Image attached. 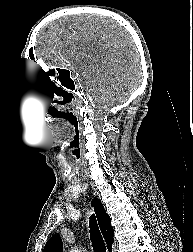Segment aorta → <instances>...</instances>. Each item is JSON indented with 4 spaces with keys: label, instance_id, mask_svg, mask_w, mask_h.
Returning a JSON list of instances; mask_svg holds the SVG:
<instances>
[{
    "label": "aorta",
    "instance_id": "obj_1",
    "mask_svg": "<svg viewBox=\"0 0 193 252\" xmlns=\"http://www.w3.org/2000/svg\"><path fill=\"white\" fill-rule=\"evenodd\" d=\"M70 252H80L78 249H72Z\"/></svg>",
    "mask_w": 193,
    "mask_h": 252
}]
</instances>
